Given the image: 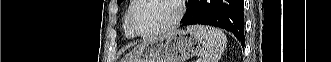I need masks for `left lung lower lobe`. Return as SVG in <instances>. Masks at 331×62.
Returning a JSON list of instances; mask_svg holds the SVG:
<instances>
[{
  "instance_id": "1",
  "label": "left lung lower lobe",
  "mask_w": 331,
  "mask_h": 62,
  "mask_svg": "<svg viewBox=\"0 0 331 62\" xmlns=\"http://www.w3.org/2000/svg\"><path fill=\"white\" fill-rule=\"evenodd\" d=\"M182 25L202 24L232 32L244 47L243 0H188Z\"/></svg>"
}]
</instances>
